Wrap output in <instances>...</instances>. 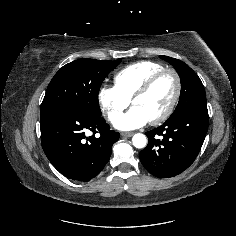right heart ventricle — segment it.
<instances>
[{
    "label": "right heart ventricle",
    "mask_w": 236,
    "mask_h": 236,
    "mask_svg": "<svg viewBox=\"0 0 236 236\" xmlns=\"http://www.w3.org/2000/svg\"><path fill=\"white\" fill-rule=\"evenodd\" d=\"M163 69V65L151 61H142L131 64L120 70L114 76L115 87L124 97L130 100L135 92L151 76Z\"/></svg>",
    "instance_id": "obj_1"
}]
</instances>
